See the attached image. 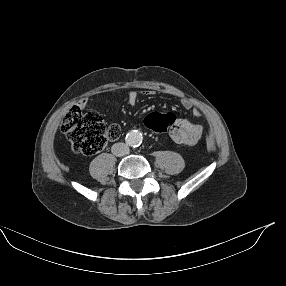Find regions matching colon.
<instances>
[{
    "label": "colon",
    "instance_id": "obj_1",
    "mask_svg": "<svg viewBox=\"0 0 286 286\" xmlns=\"http://www.w3.org/2000/svg\"><path fill=\"white\" fill-rule=\"evenodd\" d=\"M180 121L174 113L150 112L145 118L146 128L163 136V132L174 128ZM61 130L71 143L74 152L82 155H94L100 152L107 142L121 135L118 124H106L102 117L92 112H82L72 107L64 116Z\"/></svg>",
    "mask_w": 286,
    "mask_h": 286
}]
</instances>
